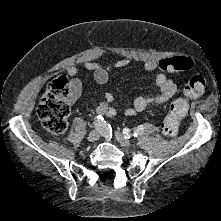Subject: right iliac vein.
Segmentation results:
<instances>
[{
  "label": "right iliac vein",
  "instance_id": "obj_1",
  "mask_svg": "<svg viewBox=\"0 0 221 221\" xmlns=\"http://www.w3.org/2000/svg\"><path fill=\"white\" fill-rule=\"evenodd\" d=\"M99 139V134L97 131H91L87 137L89 142H95Z\"/></svg>",
  "mask_w": 221,
  "mask_h": 221
}]
</instances>
